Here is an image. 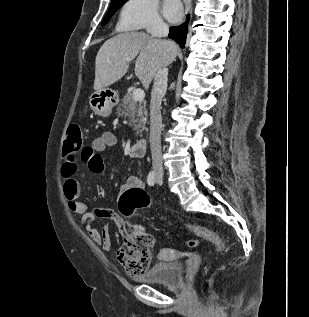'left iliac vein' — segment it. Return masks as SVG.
<instances>
[{
  "label": "left iliac vein",
  "mask_w": 309,
  "mask_h": 317,
  "mask_svg": "<svg viewBox=\"0 0 309 317\" xmlns=\"http://www.w3.org/2000/svg\"><path fill=\"white\" fill-rule=\"evenodd\" d=\"M157 183H158V184H160V185H162V183H163V179H162V178H158V177H157Z\"/></svg>",
  "instance_id": "obj_1"
}]
</instances>
